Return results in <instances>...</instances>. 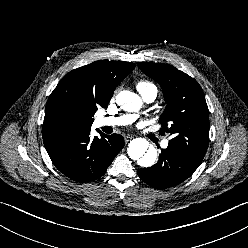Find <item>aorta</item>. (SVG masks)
Listing matches in <instances>:
<instances>
[{
  "mask_svg": "<svg viewBox=\"0 0 248 248\" xmlns=\"http://www.w3.org/2000/svg\"><path fill=\"white\" fill-rule=\"evenodd\" d=\"M116 103L128 112H136L142 106L141 98L130 91H121L116 96ZM128 155L136 160L142 167L152 166L157 157L154 147H149V142L144 138H135L128 145Z\"/></svg>",
  "mask_w": 248,
  "mask_h": 248,
  "instance_id": "1",
  "label": "aorta"
}]
</instances>
